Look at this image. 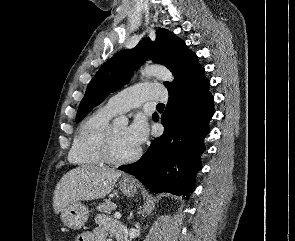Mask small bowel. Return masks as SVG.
Returning <instances> with one entry per match:
<instances>
[{
	"instance_id": "1",
	"label": "small bowel",
	"mask_w": 295,
	"mask_h": 241,
	"mask_svg": "<svg viewBox=\"0 0 295 241\" xmlns=\"http://www.w3.org/2000/svg\"><path fill=\"white\" fill-rule=\"evenodd\" d=\"M96 228L92 232L81 235L83 241H106L107 235L112 234L119 241L123 233V225L106 214H98L95 218Z\"/></svg>"
}]
</instances>
